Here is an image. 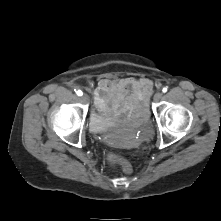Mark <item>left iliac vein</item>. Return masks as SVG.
I'll return each instance as SVG.
<instances>
[{
  "instance_id": "1",
  "label": "left iliac vein",
  "mask_w": 221,
  "mask_h": 221,
  "mask_svg": "<svg viewBox=\"0 0 221 221\" xmlns=\"http://www.w3.org/2000/svg\"><path fill=\"white\" fill-rule=\"evenodd\" d=\"M162 96H163V93L159 91V92L155 93L153 99H154L155 102H158L162 98Z\"/></svg>"
}]
</instances>
